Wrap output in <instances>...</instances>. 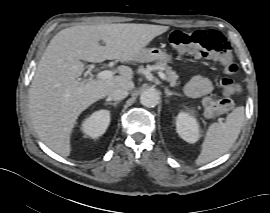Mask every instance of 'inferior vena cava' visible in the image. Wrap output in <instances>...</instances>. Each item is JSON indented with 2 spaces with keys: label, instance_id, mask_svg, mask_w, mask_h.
<instances>
[{
  "label": "inferior vena cava",
  "instance_id": "602c4592",
  "mask_svg": "<svg viewBox=\"0 0 270 213\" xmlns=\"http://www.w3.org/2000/svg\"><path fill=\"white\" fill-rule=\"evenodd\" d=\"M128 96V91L123 88L113 89L108 94V100H122Z\"/></svg>",
  "mask_w": 270,
  "mask_h": 213
}]
</instances>
